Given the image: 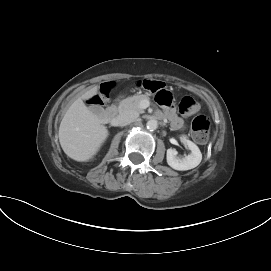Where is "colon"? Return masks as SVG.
I'll return each mask as SVG.
<instances>
[{"label": "colon", "mask_w": 271, "mask_h": 271, "mask_svg": "<svg viewBox=\"0 0 271 271\" xmlns=\"http://www.w3.org/2000/svg\"><path fill=\"white\" fill-rule=\"evenodd\" d=\"M137 86L151 93L156 94V100L160 105L170 106L173 101L172 94L165 88V85L158 80L143 79L137 82ZM111 85L105 84L100 93L94 96L90 103L94 106H100L103 100L109 95ZM200 104L197 99L191 96L183 97L178 105L182 114H193L198 111ZM210 121L204 115L196 116L191 124V131L194 140L198 143H205L208 139Z\"/></svg>", "instance_id": "1"}]
</instances>
